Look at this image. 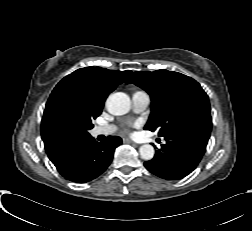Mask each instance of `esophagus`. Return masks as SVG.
I'll return each instance as SVG.
<instances>
[{
    "instance_id": "obj_1",
    "label": "esophagus",
    "mask_w": 252,
    "mask_h": 231,
    "mask_svg": "<svg viewBox=\"0 0 252 231\" xmlns=\"http://www.w3.org/2000/svg\"><path fill=\"white\" fill-rule=\"evenodd\" d=\"M124 142H125V143H128V144L137 145L134 141H132V140H130V139H128V138L124 139Z\"/></svg>"
}]
</instances>
